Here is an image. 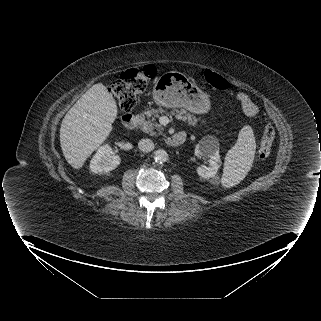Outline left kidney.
Returning <instances> with one entry per match:
<instances>
[{"mask_svg": "<svg viewBox=\"0 0 321 321\" xmlns=\"http://www.w3.org/2000/svg\"><path fill=\"white\" fill-rule=\"evenodd\" d=\"M197 157H208L209 165H201L197 167V173L200 177L210 179L216 176L221 166V158L219 155V143L214 137L203 138L195 148Z\"/></svg>", "mask_w": 321, "mask_h": 321, "instance_id": "obj_1", "label": "left kidney"}]
</instances>
